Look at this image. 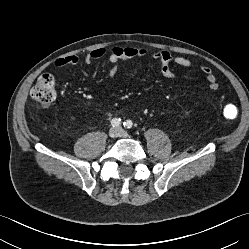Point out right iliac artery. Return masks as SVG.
I'll use <instances>...</instances> for the list:
<instances>
[{
	"mask_svg": "<svg viewBox=\"0 0 249 249\" xmlns=\"http://www.w3.org/2000/svg\"><path fill=\"white\" fill-rule=\"evenodd\" d=\"M121 119L120 118H113L112 120H111V125L113 126V127H119L120 125H121Z\"/></svg>",
	"mask_w": 249,
	"mask_h": 249,
	"instance_id": "82829eb1",
	"label": "right iliac artery"
}]
</instances>
